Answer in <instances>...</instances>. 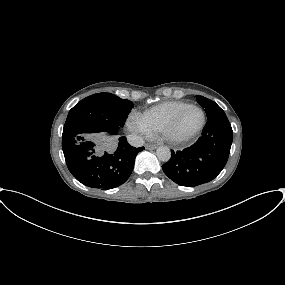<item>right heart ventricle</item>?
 I'll return each instance as SVG.
<instances>
[{"label":"right heart ventricle","instance_id":"e07e8e85","mask_svg":"<svg viewBox=\"0 0 285 285\" xmlns=\"http://www.w3.org/2000/svg\"><path fill=\"white\" fill-rule=\"evenodd\" d=\"M189 105L183 101H165L138 114L137 117L151 133L162 132L164 127Z\"/></svg>","mask_w":285,"mask_h":285}]
</instances>
